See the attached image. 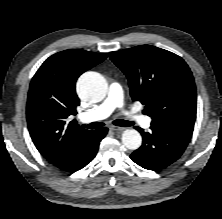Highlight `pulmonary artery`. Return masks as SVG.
Masks as SVG:
<instances>
[{
  "label": "pulmonary artery",
  "mask_w": 222,
  "mask_h": 219,
  "mask_svg": "<svg viewBox=\"0 0 222 219\" xmlns=\"http://www.w3.org/2000/svg\"><path fill=\"white\" fill-rule=\"evenodd\" d=\"M122 109V113L130 121L139 122L144 128L150 126L151 120L148 117H144L140 114L133 113L132 111L123 108V92L119 83L114 82L110 85L109 95L107 99L94 108L93 110L81 114L80 119L83 122L99 121L107 118L116 109Z\"/></svg>",
  "instance_id": "1"
}]
</instances>
